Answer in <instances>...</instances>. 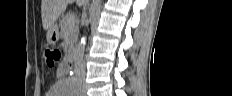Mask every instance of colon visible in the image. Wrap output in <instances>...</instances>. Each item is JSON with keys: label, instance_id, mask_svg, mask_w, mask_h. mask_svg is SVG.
Wrapping results in <instances>:
<instances>
[{"label": "colon", "instance_id": "colon-1", "mask_svg": "<svg viewBox=\"0 0 232 96\" xmlns=\"http://www.w3.org/2000/svg\"><path fill=\"white\" fill-rule=\"evenodd\" d=\"M45 57L49 65H54L60 60L61 53L56 48H49L45 51Z\"/></svg>", "mask_w": 232, "mask_h": 96}]
</instances>
